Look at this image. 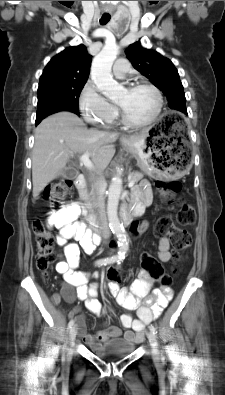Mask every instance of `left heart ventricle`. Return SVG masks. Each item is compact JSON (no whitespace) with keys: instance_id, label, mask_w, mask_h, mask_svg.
I'll list each match as a JSON object with an SVG mask.
<instances>
[{"instance_id":"obj_1","label":"left heart ventricle","mask_w":225,"mask_h":395,"mask_svg":"<svg viewBox=\"0 0 225 395\" xmlns=\"http://www.w3.org/2000/svg\"><path fill=\"white\" fill-rule=\"evenodd\" d=\"M116 103L124 111L128 119L142 122L151 117L156 107V98L153 92L146 88L135 90L124 89Z\"/></svg>"}]
</instances>
